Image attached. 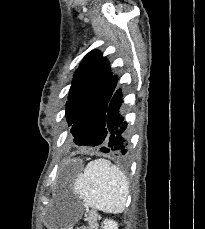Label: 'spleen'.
I'll return each mask as SVG.
<instances>
[{
	"mask_svg": "<svg viewBox=\"0 0 205 229\" xmlns=\"http://www.w3.org/2000/svg\"><path fill=\"white\" fill-rule=\"evenodd\" d=\"M73 190L86 206L117 214L125 209L129 186L119 168L100 158L89 162L77 175Z\"/></svg>",
	"mask_w": 205,
	"mask_h": 229,
	"instance_id": "3e777b00",
	"label": "spleen"
}]
</instances>
